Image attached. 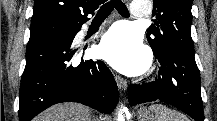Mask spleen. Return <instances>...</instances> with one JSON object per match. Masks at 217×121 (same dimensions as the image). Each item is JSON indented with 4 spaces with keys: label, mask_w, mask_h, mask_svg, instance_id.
Segmentation results:
<instances>
[{
    "label": "spleen",
    "mask_w": 217,
    "mask_h": 121,
    "mask_svg": "<svg viewBox=\"0 0 217 121\" xmlns=\"http://www.w3.org/2000/svg\"><path fill=\"white\" fill-rule=\"evenodd\" d=\"M150 110L155 112L157 121H188L182 113L168 109L162 104L151 105Z\"/></svg>",
    "instance_id": "3e777b00"
}]
</instances>
